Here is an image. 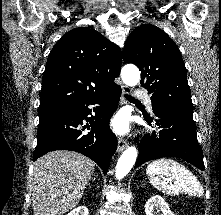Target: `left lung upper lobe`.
Returning a JSON list of instances; mask_svg holds the SVG:
<instances>
[{"label":"left lung upper lobe","mask_w":221,"mask_h":215,"mask_svg":"<svg viewBox=\"0 0 221 215\" xmlns=\"http://www.w3.org/2000/svg\"><path fill=\"white\" fill-rule=\"evenodd\" d=\"M123 60L141 70L140 84L151 95L153 107L193 111L181 53L163 30L147 24L136 27L125 43Z\"/></svg>","instance_id":"left-lung-upper-lobe-1"}]
</instances>
